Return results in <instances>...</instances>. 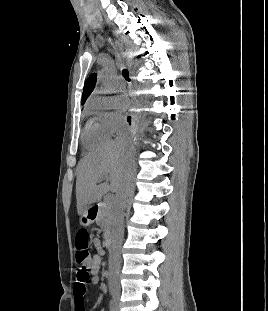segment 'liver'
<instances>
[{
  "label": "liver",
  "instance_id": "obj_1",
  "mask_svg": "<svg viewBox=\"0 0 268 311\" xmlns=\"http://www.w3.org/2000/svg\"><path fill=\"white\" fill-rule=\"evenodd\" d=\"M128 148L113 142L104 149L85 156L78 164L76 179L77 212L83 214L88 205L99 202L108 192L118 193L126 179ZM106 177L110 184L102 183Z\"/></svg>",
  "mask_w": 268,
  "mask_h": 311
}]
</instances>
